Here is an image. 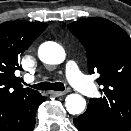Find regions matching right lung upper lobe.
Instances as JSON below:
<instances>
[{"label":"right lung upper lobe","mask_w":131,"mask_h":131,"mask_svg":"<svg viewBox=\"0 0 131 131\" xmlns=\"http://www.w3.org/2000/svg\"><path fill=\"white\" fill-rule=\"evenodd\" d=\"M47 24L28 21H8L0 24V100L17 101L40 94L23 88L16 70L21 54L46 29Z\"/></svg>","instance_id":"1"}]
</instances>
